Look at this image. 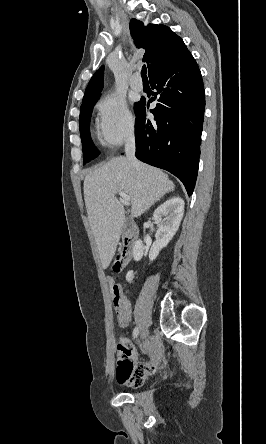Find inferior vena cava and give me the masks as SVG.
<instances>
[{"label": "inferior vena cava", "instance_id": "inferior-vena-cava-1", "mask_svg": "<svg viewBox=\"0 0 266 444\" xmlns=\"http://www.w3.org/2000/svg\"><path fill=\"white\" fill-rule=\"evenodd\" d=\"M125 154H126L127 159L131 163H133V164L137 163V159L135 157V135H134V133H131L126 139Z\"/></svg>", "mask_w": 266, "mask_h": 444}]
</instances>
